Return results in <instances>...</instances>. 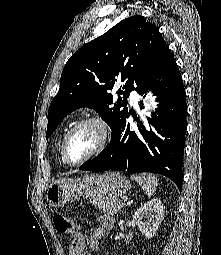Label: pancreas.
<instances>
[{
    "label": "pancreas",
    "mask_w": 221,
    "mask_h": 255,
    "mask_svg": "<svg viewBox=\"0 0 221 255\" xmlns=\"http://www.w3.org/2000/svg\"><path fill=\"white\" fill-rule=\"evenodd\" d=\"M93 204L95 207L99 208L100 210H103L104 213H107L109 215L116 214L120 208L123 206V203L120 199H99L97 201H94Z\"/></svg>",
    "instance_id": "1"
}]
</instances>
